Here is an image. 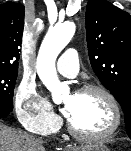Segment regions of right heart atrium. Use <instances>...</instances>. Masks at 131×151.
Returning <instances> with one entry per match:
<instances>
[{
	"label": "right heart atrium",
	"instance_id": "obj_1",
	"mask_svg": "<svg viewBox=\"0 0 131 151\" xmlns=\"http://www.w3.org/2000/svg\"><path fill=\"white\" fill-rule=\"evenodd\" d=\"M14 107L19 122L31 132L47 134L55 130L59 123L52 106L31 81L23 80L20 83L15 93Z\"/></svg>",
	"mask_w": 131,
	"mask_h": 151
}]
</instances>
